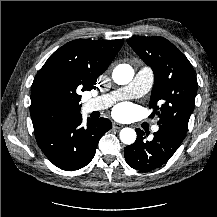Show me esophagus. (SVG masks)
I'll return each instance as SVG.
<instances>
[{
    "instance_id": "obj_1",
    "label": "esophagus",
    "mask_w": 217,
    "mask_h": 217,
    "mask_svg": "<svg viewBox=\"0 0 217 217\" xmlns=\"http://www.w3.org/2000/svg\"><path fill=\"white\" fill-rule=\"evenodd\" d=\"M123 126L119 123H116V122H113V129H120L122 128Z\"/></svg>"
}]
</instances>
